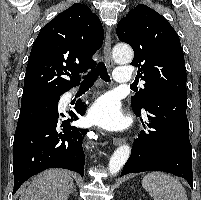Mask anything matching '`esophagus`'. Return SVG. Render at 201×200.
Segmentation results:
<instances>
[{
	"mask_svg": "<svg viewBox=\"0 0 201 200\" xmlns=\"http://www.w3.org/2000/svg\"><path fill=\"white\" fill-rule=\"evenodd\" d=\"M104 56L106 60V64L109 68H112L114 66V62L112 59V54H111V35H110V30H106V36H105V42H104ZM125 138L123 137H115L113 139V144L115 146L121 145L124 143Z\"/></svg>",
	"mask_w": 201,
	"mask_h": 200,
	"instance_id": "1",
	"label": "esophagus"
}]
</instances>
